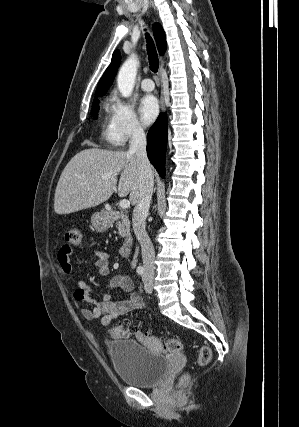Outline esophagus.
<instances>
[{
	"label": "esophagus",
	"instance_id": "obj_1",
	"mask_svg": "<svg viewBox=\"0 0 299 427\" xmlns=\"http://www.w3.org/2000/svg\"><path fill=\"white\" fill-rule=\"evenodd\" d=\"M161 66H163V62L161 63ZM161 107H162V111H164L165 110V105H164L163 96L161 97Z\"/></svg>",
	"mask_w": 299,
	"mask_h": 427
}]
</instances>
